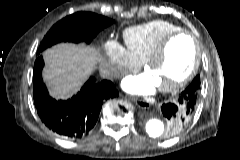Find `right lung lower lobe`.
I'll use <instances>...</instances> for the list:
<instances>
[{
	"label": "right lung lower lobe",
	"mask_w": 240,
	"mask_h": 160,
	"mask_svg": "<svg viewBox=\"0 0 240 160\" xmlns=\"http://www.w3.org/2000/svg\"><path fill=\"white\" fill-rule=\"evenodd\" d=\"M43 66L42 56L37 57L33 69V97L41 121L60 136H85L96 124L102 104L119 95L114 84L108 80L97 82L91 77L70 100L56 101L43 83Z\"/></svg>",
	"instance_id": "right-lung-lower-lobe-1"
}]
</instances>
